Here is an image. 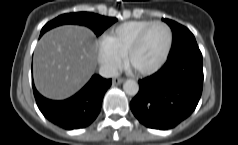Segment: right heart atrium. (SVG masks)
<instances>
[{"label": "right heart atrium", "instance_id": "d8ad5b80", "mask_svg": "<svg viewBox=\"0 0 238 145\" xmlns=\"http://www.w3.org/2000/svg\"><path fill=\"white\" fill-rule=\"evenodd\" d=\"M98 61L107 74H114L122 64V58L102 41L98 47Z\"/></svg>", "mask_w": 238, "mask_h": 145}]
</instances>
